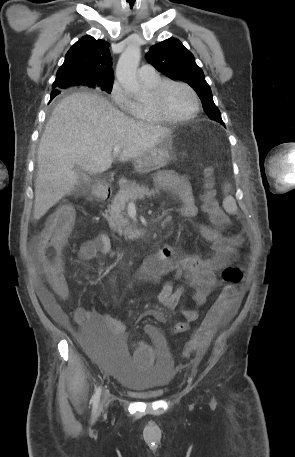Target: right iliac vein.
Returning <instances> with one entry per match:
<instances>
[{
    "label": "right iliac vein",
    "mask_w": 295,
    "mask_h": 457,
    "mask_svg": "<svg viewBox=\"0 0 295 457\" xmlns=\"http://www.w3.org/2000/svg\"><path fill=\"white\" fill-rule=\"evenodd\" d=\"M106 406H107V399L104 398L102 401V407H106Z\"/></svg>",
    "instance_id": "obj_1"
}]
</instances>
